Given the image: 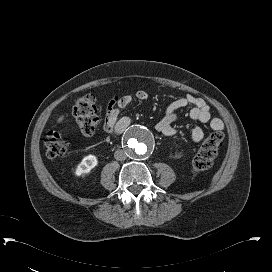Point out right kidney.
Returning <instances> with one entry per match:
<instances>
[{
  "label": "right kidney",
  "mask_w": 272,
  "mask_h": 272,
  "mask_svg": "<svg viewBox=\"0 0 272 272\" xmlns=\"http://www.w3.org/2000/svg\"><path fill=\"white\" fill-rule=\"evenodd\" d=\"M97 164L98 161L95 155H87L77 165L75 169V175L85 176L86 174L90 173V171L95 168Z\"/></svg>",
  "instance_id": "1"
}]
</instances>
